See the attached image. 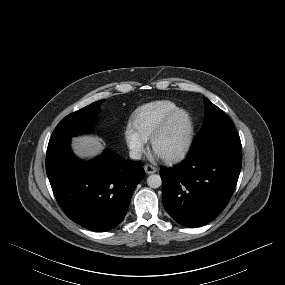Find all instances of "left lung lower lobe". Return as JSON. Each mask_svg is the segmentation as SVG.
Instances as JSON below:
<instances>
[{
  "mask_svg": "<svg viewBox=\"0 0 285 285\" xmlns=\"http://www.w3.org/2000/svg\"><path fill=\"white\" fill-rule=\"evenodd\" d=\"M241 164L242 146L231 144L188 155L174 168L161 169L167 212L187 227L211 222L228 204Z\"/></svg>",
  "mask_w": 285,
  "mask_h": 285,
  "instance_id": "obj_1",
  "label": "left lung lower lobe"
}]
</instances>
